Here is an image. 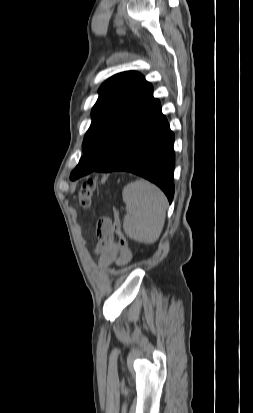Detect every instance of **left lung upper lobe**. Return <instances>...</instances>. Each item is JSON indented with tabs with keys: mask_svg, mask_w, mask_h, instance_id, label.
I'll return each mask as SVG.
<instances>
[{
	"mask_svg": "<svg viewBox=\"0 0 253 413\" xmlns=\"http://www.w3.org/2000/svg\"><path fill=\"white\" fill-rule=\"evenodd\" d=\"M92 109V123L82 144L83 157L70 175L75 180L96 171L113 156L123 121L135 118L153 101V87L135 71L118 73L105 81Z\"/></svg>",
	"mask_w": 253,
	"mask_h": 413,
	"instance_id": "left-lung-upper-lobe-1",
	"label": "left lung upper lobe"
}]
</instances>
